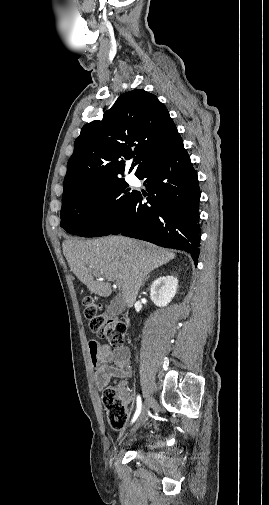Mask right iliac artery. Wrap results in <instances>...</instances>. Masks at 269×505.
I'll list each match as a JSON object with an SVG mask.
<instances>
[{"label": "right iliac artery", "instance_id": "obj_1", "mask_svg": "<svg viewBox=\"0 0 269 505\" xmlns=\"http://www.w3.org/2000/svg\"><path fill=\"white\" fill-rule=\"evenodd\" d=\"M141 409H142V401H141V397L138 396L137 397V409H136V412L132 418V421L131 423H134L136 421V419L138 418V416L140 415L141 413Z\"/></svg>", "mask_w": 269, "mask_h": 505}]
</instances>
